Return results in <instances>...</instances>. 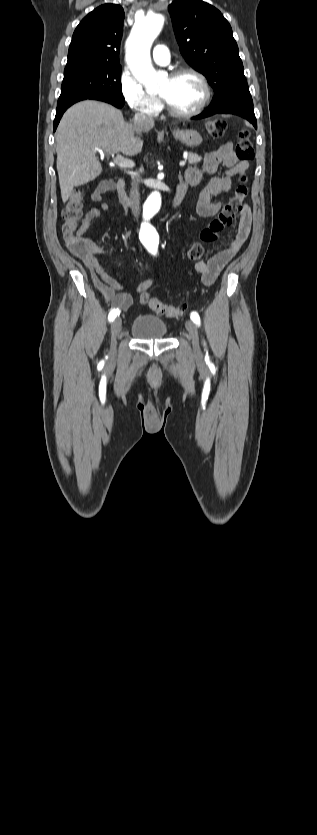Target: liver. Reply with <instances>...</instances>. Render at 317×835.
Returning <instances> with one entry per match:
<instances>
[{"label": "liver", "instance_id": "1", "mask_svg": "<svg viewBox=\"0 0 317 835\" xmlns=\"http://www.w3.org/2000/svg\"><path fill=\"white\" fill-rule=\"evenodd\" d=\"M135 132L134 125L127 123L122 112L111 105L85 100L71 106L55 134L62 201L68 200L74 186L101 174L102 166L96 158L98 149L128 156L140 153L143 141L134 136Z\"/></svg>", "mask_w": 317, "mask_h": 835}]
</instances>
